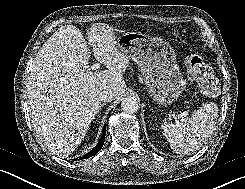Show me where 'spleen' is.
Instances as JSON below:
<instances>
[{"instance_id": "3e777b00", "label": "spleen", "mask_w": 245, "mask_h": 189, "mask_svg": "<svg viewBox=\"0 0 245 189\" xmlns=\"http://www.w3.org/2000/svg\"><path fill=\"white\" fill-rule=\"evenodd\" d=\"M218 106L213 102L203 104L189 118L175 124L164 123V131L170 147L176 153H191L208 140L218 117Z\"/></svg>"}]
</instances>
